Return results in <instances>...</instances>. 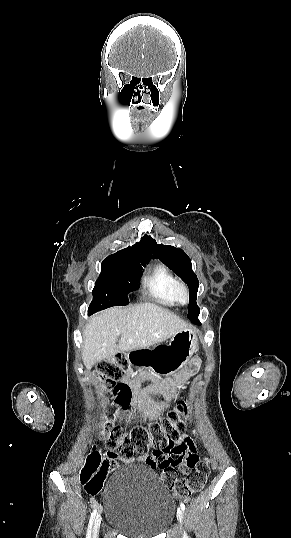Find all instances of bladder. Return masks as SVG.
Instances as JSON below:
<instances>
[{
    "instance_id": "obj_1",
    "label": "bladder",
    "mask_w": 291,
    "mask_h": 538,
    "mask_svg": "<svg viewBox=\"0 0 291 538\" xmlns=\"http://www.w3.org/2000/svg\"><path fill=\"white\" fill-rule=\"evenodd\" d=\"M107 523L130 538H154L171 524L174 500L148 468L128 464L109 478L103 494Z\"/></svg>"
}]
</instances>
